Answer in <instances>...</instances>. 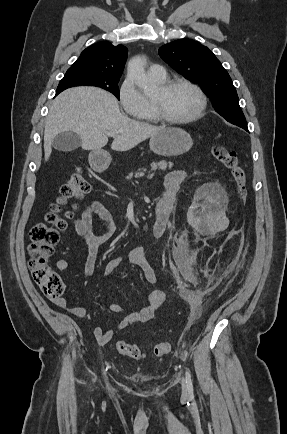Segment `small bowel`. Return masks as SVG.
<instances>
[{
    "mask_svg": "<svg viewBox=\"0 0 287 434\" xmlns=\"http://www.w3.org/2000/svg\"><path fill=\"white\" fill-rule=\"evenodd\" d=\"M186 177L184 170H174L165 178V193L160 202L155 208V223L153 235L156 239L163 237L167 223L173 211V206L176 200L178 191ZM159 209L162 213L159 214ZM93 216H97L102 223L103 232L97 234L93 225ZM76 233L82 238L88 247V256L83 270V277L91 276L95 271L96 259L99 247L107 242L116 232V223L113 213L108 210L100 201H93L86 209L72 222ZM127 259L132 265L138 267L143 273L145 279L150 283L157 282V275L148 261L144 248L135 247L124 255L113 257L107 261L104 266L103 273L105 276H110L117 267ZM68 262L66 260H58L55 263V268L58 271L66 270ZM166 295L161 290H155L147 296L145 306L136 313L128 314L118 324L117 330H123L128 326L137 322H148L153 319L156 310L165 301ZM54 303L65 309L68 313L77 318L86 316L87 311L82 306L71 307L64 297L53 299ZM108 308L113 313H122L123 307L115 302H109ZM98 343L107 344L113 336V330H104L102 327H96L93 331Z\"/></svg>",
    "mask_w": 287,
    "mask_h": 434,
    "instance_id": "obj_1",
    "label": "small bowel"
}]
</instances>
